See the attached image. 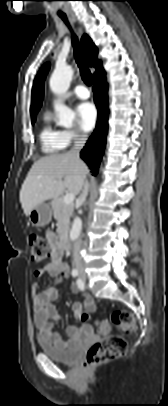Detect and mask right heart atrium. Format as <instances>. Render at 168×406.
Instances as JSON below:
<instances>
[{
    "label": "right heart atrium",
    "mask_w": 168,
    "mask_h": 406,
    "mask_svg": "<svg viewBox=\"0 0 168 406\" xmlns=\"http://www.w3.org/2000/svg\"><path fill=\"white\" fill-rule=\"evenodd\" d=\"M63 135L67 144L82 141L86 138V135L77 129H68L63 131Z\"/></svg>",
    "instance_id": "obj_1"
}]
</instances>
